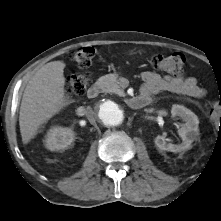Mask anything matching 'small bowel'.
<instances>
[{"label":"small bowel","mask_w":221,"mask_h":221,"mask_svg":"<svg viewBox=\"0 0 221 221\" xmlns=\"http://www.w3.org/2000/svg\"><path fill=\"white\" fill-rule=\"evenodd\" d=\"M141 79L143 81L141 94L154 95L167 91L198 99L206 95V90L198 85L194 77L184 75L160 76L154 72L145 71L141 74Z\"/></svg>","instance_id":"obj_1"}]
</instances>
